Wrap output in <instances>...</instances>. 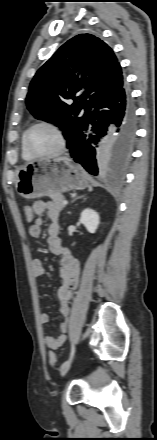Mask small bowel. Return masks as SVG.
<instances>
[{
	"label": "small bowel",
	"instance_id": "obj_1",
	"mask_svg": "<svg viewBox=\"0 0 157 440\" xmlns=\"http://www.w3.org/2000/svg\"><path fill=\"white\" fill-rule=\"evenodd\" d=\"M34 214L36 215L33 224L29 227V234L33 238H37L41 235L42 215L47 213L51 223L48 226V246L50 252L59 257V276L62 279V284L57 290V297L59 300V312L63 317L60 324V331L57 336L45 335L44 341L48 348L57 349L66 340L67 334V319L70 312L69 303L77 288L81 267L79 261L72 255L70 250L62 245L59 237V207L52 201H35L32 205ZM32 272L35 277H40L45 273V267L43 262L36 258L32 261ZM40 321L46 324L49 321L47 314L42 313L40 315Z\"/></svg>",
	"mask_w": 157,
	"mask_h": 440
}]
</instances>
